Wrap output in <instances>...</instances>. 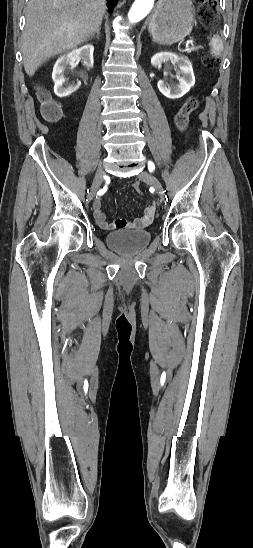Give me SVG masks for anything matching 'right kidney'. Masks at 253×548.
I'll return each instance as SVG.
<instances>
[{
	"label": "right kidney",
	"mask_w": 253,
	"mask_h": 548,
	"mask_svg": "<svg viewBox=\"0 0 253 548\" xmlns=\"http://www.w3.org/2000/svg\"><path fill=\"white\" fill-rule=\"evenodd\" d=\"M93 52V45L87 44L78 49H74L67 54H63L58 58L52 72L54 92L58 97L63 98L71 95L81 85L79 81L68 83L64 76L65 69L69 66L75 67L80 60L84 62L86 67H93Z\"/></svg>",
	"instance_id": "obj_1"
}]
</instances>
